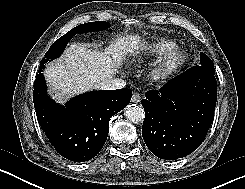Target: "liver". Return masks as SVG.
Returning a JSON list of instances; mask_svg holds the SVG:
<instances>
[{
  "instance_id": "obj_1",
  "label": "liver",
  "mask_w": 245,
  "mask_h": 189,
  "mask_svg": "<svg viewBox=\"0 0 245 189\" xmlns=\"http://www.w3.org/2000/svg\"><path fill=\"white\" fill-rule=\"evenodd\" d=\"M142 45L138 34L115 39L104 52L80 43L71 44L44 71L53 99L63 104L74 95L103 88L118 72L124 56L135 54Z\"/></svg>"
}]
</instances>
